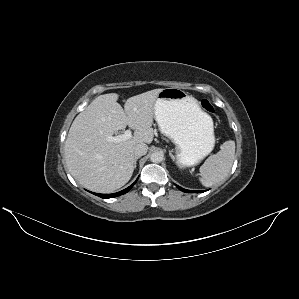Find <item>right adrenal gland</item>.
Wrapping results in <instances>:
<instances>
[{
  "instance_id": "right-adrenal-gland-1",
  "label": "right adrenal gland",
  "mask_w": 299,
  "mask_h": 299,
  "mask_svg": "<svg viewBox=\"0 0 299 299\" xmlns=\"http://www.w3.org/2000/svg\"><path fill=\"white\" fill-rule=\"evenodd\" d=\"M138 159H140V156L135 157V160H134V169H136V167H137V160Z\"/></svg>"
}]
</instances>
